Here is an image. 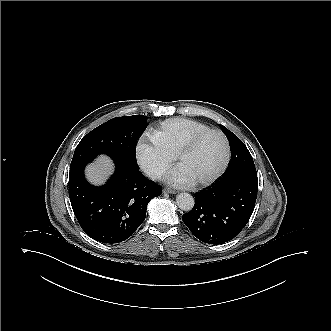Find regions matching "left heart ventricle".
I'll use <instances>...</instances> for the list:
<instances>
[{
    "label": "left heart ventricle",
    "mask_w": 331,
    "mask_h": 331,
    "mask_svg": "<svg viewBox=\"0 0 331 331\" xmlns=\"http://www.w3.org/2000/svg\"><path fill=\"white\" fill-rule=\"evenodd\" d=\"M224 157L221 138L210 134L201 139L183 157L182 168L193 180L208 178L220 167Z\"/></svg>",
    "instance_id": "b2bd125f"
}]
</instances>
